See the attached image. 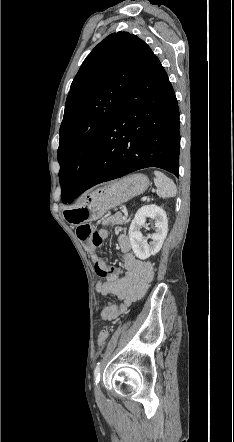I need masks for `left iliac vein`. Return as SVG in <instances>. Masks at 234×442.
Segmentation results:
<instances>
[{"mask_svg": "<svg viewBox=\"0 0 234 442\" xmlns=\"http://www.w3.org/2000/svg\"><path fill=\"white\" fill-rule=\"evenodd\" d=\"M95 393H96V399L98 401H100L103 398V395H102L101 390H100V388H99V386L97 384H96V387H95Z\"/></svg>", "mask_w": 234, "mask_h": 442, "instance_id": "left-iliac-vein-1", "label": "left iliac vein"}]
</instances>
